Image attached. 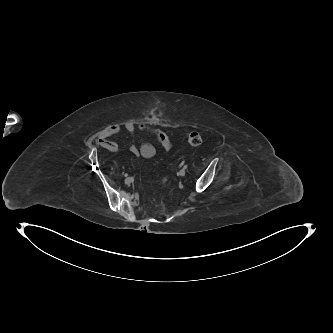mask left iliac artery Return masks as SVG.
<instances>
[{
	"mask_svg": "<svg viewBox=\"0 0 333 333\" xmlns=\"http://www.w3.org/2000/svg\"><path fill=\"white\" fill-rule=\"evenodd\" d=\"M183 164H184V162H182L181 165H183ZM186 168H187V165H184L183 169H186Z\"/></svg>",
	"mask_w": 333,
	"mask_h": 333,
	"instance_id": "left-iliac-artery-1",
	"label": "left iliac artery"
}]
</instances>
